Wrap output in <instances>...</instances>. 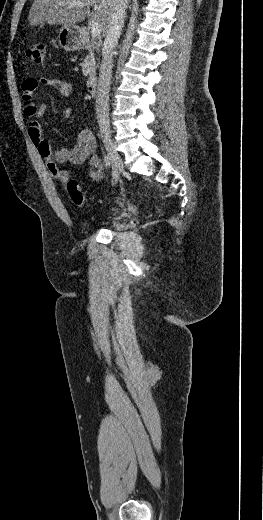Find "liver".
I'll use <instances>...</instances> for the list:
<instances>
[{"label": "liver", "mask_w": 263, "mask_h": 520, "mask_svg": "<svg viewBox=\"0 0 263 520\" xmlns=\"http://www.w3.org/2000/svg\"><path fill=\"white\" fill-rule=\"evenodd\" d=\"M75 1H80L85 6H70V3ZM90 7H92L91 13ZM113 10V0H34L28 21L31 26L45 21L49 24H76L90 14L93 21L100 23L101 32L106 35Z\"/></svg>", "instance_id": "obj_1"}]
</instances>
